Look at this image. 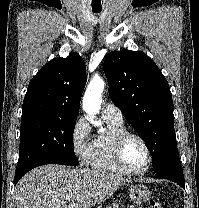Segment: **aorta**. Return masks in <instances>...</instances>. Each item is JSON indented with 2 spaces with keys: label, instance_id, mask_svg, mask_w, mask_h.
<instances>
[{
  "label": "aorta",
  "instance_id": "obj_1",
  "mask_svg": "<svg viewBox=\"0 0 199 208\" xmlns=\"http://www.w3.org/2000/svg\"><path fill=\"white\" fill-rule=\"evenodd\" d=\"M105 83L100 77H94L89 83L84 97H83V109L87 114L88 120L94 126H101V123L95 120V116L99 113L101 107V96L104 91ZM100 132H103L104 129L100 127Z\"/></svg>",
  "mask_w": 199,
  "mask_h": 208
}]
</instances>
